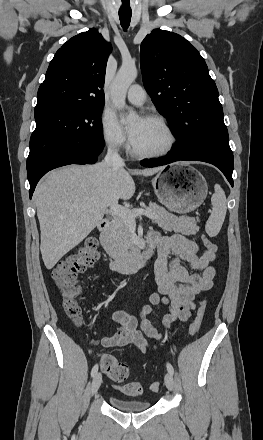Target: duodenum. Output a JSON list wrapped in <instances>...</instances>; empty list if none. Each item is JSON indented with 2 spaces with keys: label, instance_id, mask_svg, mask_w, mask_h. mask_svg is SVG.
<instances>
[{
  "label": "duodenum",
  "instance_id": "duodenum-1",
  "mask_svg": "<svg viewBox=\"0 0 263 440\" xmlns=\"http://www.w3.org/2000/svg\"><path fill=\"white\" fill-rule=\"evenodd\" d=\"M111 222L108 219H103L99 222L98 228L101 234V238L104 243L108 241V233L110 230ZM155 244L151 239H146L144 247L140 252L135 254L129 260L118 259L113 255L107 257V264L113 271L121 273H134L145 266L147 261L152 257L154 253Z\"/></svg>",
  "mask_w": 263,
  "mask_h": 440
}]
</instances>
